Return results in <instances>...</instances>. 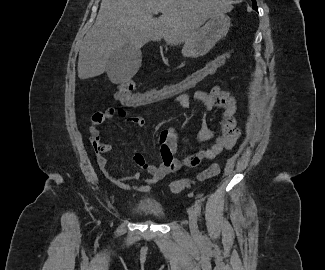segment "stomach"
I'll use <instances>...</instances> for the list:
<instances>
[{"mask_svg": "<svg viewBox=\"0 0 325 270\" xmlns=\"http://www.w3.org/2000/svg\"><path fill=\"white\" fill-rule=\"evenodd\" d=\"M230 23V18L225 14L212 16L191 40L184 42L182 54L185 57L205 55L219 40L226 36Z\"/></svg>", "mask_w": 325, "mask_h": 270, "instance_id": "1", "label": "stomach"}]
</instances>
